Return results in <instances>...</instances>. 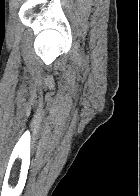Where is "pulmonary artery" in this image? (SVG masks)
Returning a JSON list of instances; mask_svg holds the SVG:
<instances>
[{
  "mask_svg": "<svg viewBox=\"0 0 140 196\" xmlns=\"http://www.w3.org/2000/svg\"><path fill=\"white\" fill-rule=\"evenodd\" d=\"M29 192H47V191H29Z\"/></svg>",
  "mask_w": 140,
  "mask_h": 196,
  "instance_id": "1",
  "label": "pulmonary artery"
}]
</instances>
